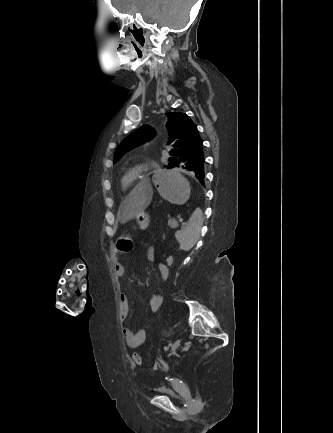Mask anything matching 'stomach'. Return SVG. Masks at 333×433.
I'll return each mask as SVG.
<instances>
[{
  "instance_id": "0dacf381",
  "label": "stomach",
  "mask_w": 333,
  "mask_h": 433,
  "mask_svg": "<svg viewBox=\"0 0 333 433\" xmlns=\"http://www.w3.org/2000/svg\"><path fill=\"white\" fill-rule=\"evenodd\" d=\"M148 183H156L163 199L173 204H182L190 199V187L179 169H156L154 174L147 175ZM137 221L142 228L148 226L149 216L143 212L137 215Z\"/></svg>"
}]
</instances>
